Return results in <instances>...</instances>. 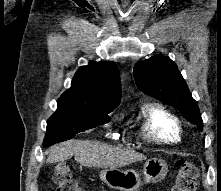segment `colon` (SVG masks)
Segmentation results:
<instances>
[{"label":"colon","instance_id":"5ec220e1","mask_svg":"<svg viewBox=\"0 0 221 191\" xmlns=\"http://www.w3.org/2000/svg\"><path fill=\"white\" fill-rule=\"evenodd\" d=\"M176 166L178 172L170 191H195L199 175L197 167L184 160H178ZM53 181L58 187L57 191H85L74 178L70 166L66 163L56 166Z\"/></svg>","mask_w":221,"mask_h":191}]
</instances>
